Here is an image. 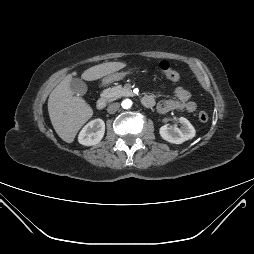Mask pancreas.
<instances>
[{
  "label": "pancreas",
  "instance_id": "pancreas-1",
  "mask_svg": "<svg viewBox=\"0 0 254 254\" xmlns=\"http://www.w3.org/2000/svg\"><path fill=\"white\" fill-rule=\"evenodd\" d=\"M122 96H132V93L129 89L121 85L107 88L101 93V97L105 98L108 102L114 101Z\"/></svg>",
  "mask_w": 254,
  "mask_h": 254
}]
</instances>
